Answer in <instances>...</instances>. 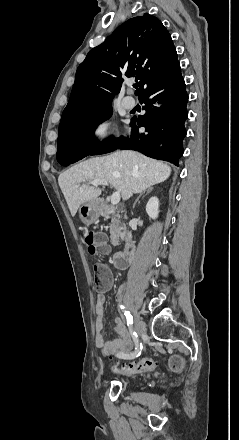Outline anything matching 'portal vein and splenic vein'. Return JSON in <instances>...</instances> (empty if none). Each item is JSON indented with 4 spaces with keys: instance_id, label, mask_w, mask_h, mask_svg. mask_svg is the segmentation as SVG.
I'll list each match as a JSON object with an SVG mask.
<instances>
[{
    "instance_id": "1",
    "label": "portal vein and splenic vein",
    "mask_w": 239,
    "mask_h": 440,
    "mask_svg": "<svg viewBox=\"0 0 239 440\" xmlns=\"http://www.w3.org/2000/svg\"><path fill=\"white\" fill-rule=\"evenodd\" d=\"M90 184H92V186H95V188H97V186H108V182H105V180H92ZM120 198V192H114V194H112L111 196V204H113V206H116V204H119Z\"/></svg>"
}]
</instances>
